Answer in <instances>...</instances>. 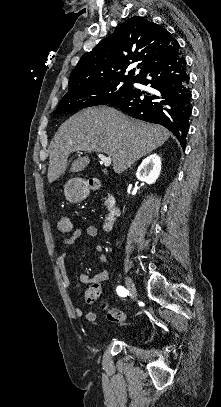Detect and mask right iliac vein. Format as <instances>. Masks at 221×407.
<instances>
[{
    "label": "right iliac vein",
    "instance_id": "right-iliac-vein-1",
    "mask_svg": "<svg viewBox=\"0 0 221 407\" xmlns=\"http://www.w3.org/2000/svg\"><path fill=\"white\" fill-rule=\"evenodd\" d=\"M125 283H126V286H127L128 291H129L130 294L132 295L133 300H135V298H136L137 295H138V292H137L136 286H135V284H134L132 278L127 275V276L125 277Z\"/></svg>",
    "mask_w": 221,
    "mask_h": 407
}]
</instances>
